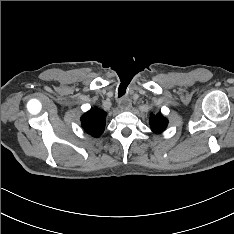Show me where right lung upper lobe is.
Here are the masks:
<instances>
[{
    "instance_id": "cb5924a9",
    "label": "right lung upper lobe",
    "mask_w": 234,
    "mask_h": 234,
    "mask_svg": "<svg viewBox=\"0 0 234 234\" xmlns=\"http://www.w3.org/2000/svg\"><path fill=\"white\" fill-rule=\"evenodd\" d=\"M106 112L95 107L81 117L83 129L93 137H99L105 128Z\"/></svg>"
}]
</instances>
